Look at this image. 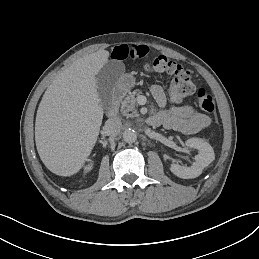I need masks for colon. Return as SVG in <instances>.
I'll list each match as a JSON object with an SVG mask.
<instances>
[{
	"label": "colon",
	"mask_w": 259,
	"mask_h": 259,
	"mask_svg": "<svg viewBox=\"0 0 259 259\" xmlns=\"http://www.w3.org/2000/svg\"><path fill=\"white\" fill-rule=\"evenodd\" d=\"M147 70L172 77L170 94L173 100L180 101L188 95L196 92V102L207 113H213L215 103L212 95L204 88L196 89L190 73L181 65L159 56L147 64Z\"/></svg>",
	"instance_id": "obj_1"
}]
</instances>
